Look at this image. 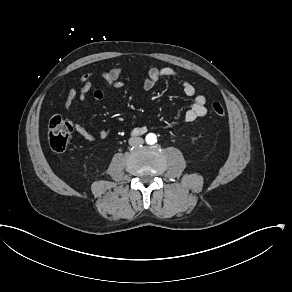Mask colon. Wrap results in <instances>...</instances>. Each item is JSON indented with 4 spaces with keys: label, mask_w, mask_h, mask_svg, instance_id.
I'll return each mask as SVG.
<instances>
[{
    "label": "colon",
    "mask_w": 292,
    "mask_h": 292,
    "mask_svg": "<svg viewBox=\"0 0 292 292\" xmlns=\"http://www.w3.org/2000/svg\"><path fill=\"white\" fill-rule=\"evenodd\" d=\"M212 112L219 118H224L225 109L221 102L214 101L211 104ZM73 133V125L61 115H53L49 122L47 134L48 144L54 153H63Z\"/></svg>",
    "instance_id": "obj_1"
}]
</instances>
